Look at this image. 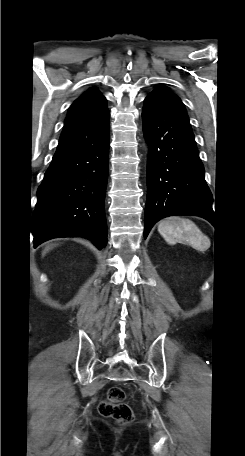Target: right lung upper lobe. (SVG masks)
<instances>
[{
	"instance_id": "1",
	"label": "right lung upper lobe",
	"mask_w": 245,
	"mask_h": 456,
	"mask_svg": "<svg viewBox=\"0 0 245 456\" xmlns=\"http://www.w3.org/2000/svg\"><path fill=\"white\" fill-rule=\"evenodd\" d=\"M106 98L91 88L69 108L55 155L69 153L92 144L109 124Z\"/></svg>"
}]
</instances>
